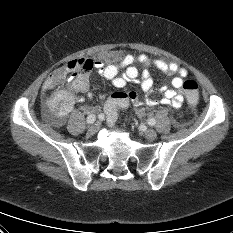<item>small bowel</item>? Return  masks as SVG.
Returning <instances> with one entry per match:
<instances>
[{"instance_id": "c3829d8e", "label": "small bowel", "mask_w": 233, "mask_h": 233, "mask_svg": "<svg viewBox=\"0 0 233 233\" xmlns=\"http://www.w3.org/2000/svg\"><path fill=\"white\" fill-rule=\"evenodd\" d=\"M104 61L96 60L93 62L101 76L109 80L112 85L118 89L126 86L128 81L139 79L140 87L145 93V103L149 106H156L161 103L166 106H173L179 109L183 102L184 97L181 89L183 86L184 78L187 76V69L176 63L168 62L162 59H151L146 54H122L118 51H112L105 55ZM154 66L156 69L175 76L171 80L169 86L165 87L163 96L160 102L150 97V92L153 87V78L147 69L142 72L138 67ZM123 68V74L119 75V70ZM50 82V76L43 84V90L46 91ZM89 90V74L78 79H71L69 86L66 89L58 90L50 93L47 98L48 112L47 117L53 125H62L67 115L72 110L76 102L84 100L85 95L92 97ZM129 102L138 107L142 105V101L138 98L137 94L133 91L128 92Z\"/></svg>"}]
</instances>
